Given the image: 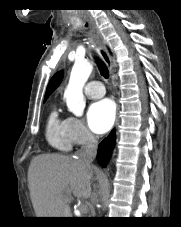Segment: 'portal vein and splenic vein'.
I'll use <instances>...</instances> for the list:
<instances>
[{
    "instance_id": "portal-vein-and-splenic-vein-1",
    "label": "portal vein and splenic vein",
    "mask_w": 181,
    "mask_h": 227,
    "mask_svg": "<svg viewBox=\"0 0 181 227\" xmlns=\"http://www.w3.org/2000/svg\"><path fill=\"white\" fill-rule=\"evenodd\" d=\"M80 210H81V211H86V210H87V206H86V205L81 206V207H80Z\"/></svg>"
}]
</instances>
